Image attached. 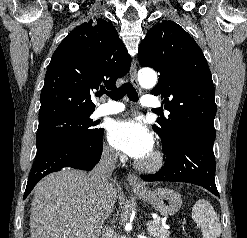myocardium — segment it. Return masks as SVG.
I'll list each match as a JSON object with an SVG mask.
<instances>
[{
  "label": "myocardium",
  "mask_w": 247,
  "mask_h": 238,
  "mask_svg": "<svg viewBox=\"0 0 247 238\" xmlns=\"http://www.w3.org/2000/svg\"><path fill=\"white\" fill-rule=\"evenodd\" d=\"M164 164L163 155L159 151L152 152L147 158L138 162V167L148 173L157 172Z\"/></svg>",
  "instance_id": "obj_1"
}]
</instances>
